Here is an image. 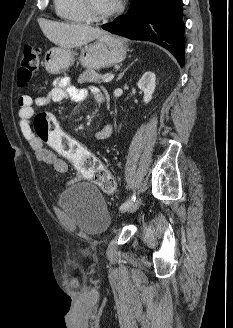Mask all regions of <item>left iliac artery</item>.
<instances>
[{
	"instance_id": "left-iliac-artery-1",
	"label": "left iliac artery",
	"mask_w": 233,
	"mask_h": 328,
	"mask_svg": "<svg viewBox=\"0 0 233 328\" xmlns=\"http://www.w3.org/2000/svg\"><path fill=\"white\" fill-rule=\"evenodd\" d=\"M136 199V195L135 193L131 196V198L129 200H127L125 203H123L121 206H120V210L121 211H124L126 210L127 208H129L131 206V204L135 201Z\"/></svg>"
}]
</instances>
